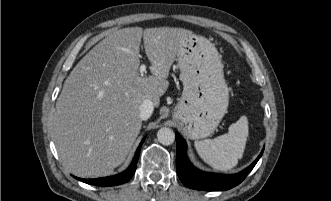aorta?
<instances>
[{
    "label": "aorta",
    "instance_id": "1",
    "mask_svg": "<svg viewBox=\"0 0 331 201\" xmlns=\"http://www.w3.org/2000/svg\"><path fill=\"white\" fill-rule=\"evenodd\" d=\"M158 141L163 145H171L175 141V134L172 129L163 127L158 130Z\"/></svg>",
    "mask_w": 331,
    "mask_h": 201
}]
</instances>
